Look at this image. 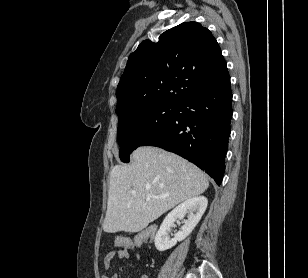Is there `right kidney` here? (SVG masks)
<instances>
[{
  "mask_svg": "<svg viewBox=\"0 0 308 278\" xmlns=\"http://www.w3.org/2000/svg\"><path fill=\"white\" fill-rule=\"evenodd\" d=\"M208 200L204 196L191 198L173 209L162 222L156 236L155 247L158 251H165L176 245L178 241L184 240L195 228L207 208ZM188 213V219L184 220V225L175 234L174 238H169L168 232L174 226L176 219L182 220Z\"/></svg>",
  "mask_w": 308,
  "mask_h": 278,
  "instance_id": "right-kidney-1",
  "label": "right kidney"
}]
</instances>
